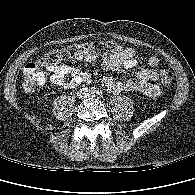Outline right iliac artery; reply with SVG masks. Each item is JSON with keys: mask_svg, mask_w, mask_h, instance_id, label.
Wrapping results in <instances>:
<instances>
[{"mask_svg": "<svg viewBox=\"0 0 195 195\" xmlns=\"http://www.w3.org/2000/svg\"><path fill=\"white\" fill-rule=\"evenodd\" d=\"M89 91H90L91 93H95V92H96V89H95V87H91V88L89 89Z\"/></svg>", "mask_w": 195, "mask_h": 195, "instance_id": "right-iliac-artery-1", "label": "right iliac artery"}]
</instances>
